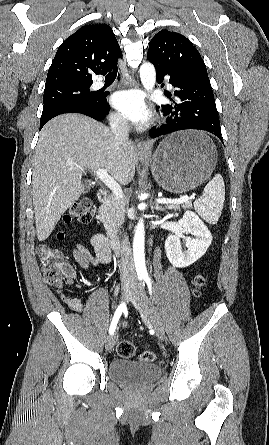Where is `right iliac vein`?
Returning a JSON list of instances; mask_svg holds the SVG:
<instances>
[{"label": "right iliac vein", "instance_id": "63e3f726", "mask_svg": "<svg viewBox=\"0 0 269 445\" xmlns=\"http://www.w3.org/2000/svg\"><path fill=\"white\" fill-rule=\"evenodd\" d=\"M133 292H134V290L131 287L123 288L122 299L128 300L132 296ZM117 340H118V332L116 331L108 338L107 343H106V349L111 350L115 346Z\"/></svg>", "mask_w": 269, "mask_h": 445}]
</instances>
